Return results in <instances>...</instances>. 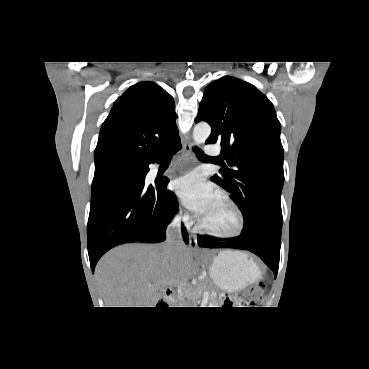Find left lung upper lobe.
<instances>
[{
    "label": "left lung upper lobe",
    "mask_w": 369,
    "mask_h": 369,
    "mask_svg": "<svg viewBox=\"0 0 369 369\" xmlns=\"http://www.w3.org/2000/svg\"><path fill=\"white\" fill-rule=\"evenodd\" d=\"M212 128L207 144L222 146L224 167L211 180L229 191L244 217V231L265 217L282 219L284 182L280 122L270 100L231 76L205 88L195 122Z\"/></svg>",
    "instance_id": "left-lung-upper-lobe-1"
}]
</instances>
